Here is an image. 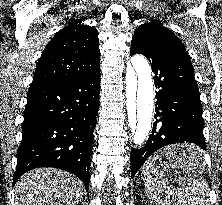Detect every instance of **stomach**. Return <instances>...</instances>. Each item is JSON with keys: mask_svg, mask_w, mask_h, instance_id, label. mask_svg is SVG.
Here are the masks:
<instances>
[{"mask_svg": "<svg viewBox=\"0 0 222 205\" xmlns=\"http://www.w3.org/2000/svg\"><path fill=\"white\" fill-rule=\"evenodd\" d=\"M187 150H199L198 147L192 144H178L166 147L157 154L164 158L161 169L165 171V175L172 182L184 181L193 176H199L203 173L205 164L201 159L194 165H175L168 161L169 158L174 157L177 153Z\"/></svg>", "mask_w": 222, "mask_h": 205, "instance_id": "stomach-1", "label": "stomach"}]
</instances>
